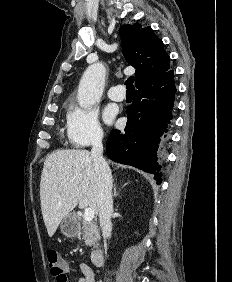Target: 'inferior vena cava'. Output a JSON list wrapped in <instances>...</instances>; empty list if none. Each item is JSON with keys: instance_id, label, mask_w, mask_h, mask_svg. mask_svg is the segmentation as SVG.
<instances>
[{"instance_id": "inferior-vena-cava-1", "label": "inferior vena cava", "mask_w": 232, "mask_h": 282, "mask_svg": "<svg viewBox=\"0 0 232 282\" xmlns=\"http://www.w3.org/2000/svg\"><path fill=\"white\" fill-rule=\"evenodd\" d=\"M103 134H99L91 149V159L96 173L98 187L99 221L104 238H110L112 232L111 216L113 214L112 175L103 158Z\"/></svg>"}]
</instances>
